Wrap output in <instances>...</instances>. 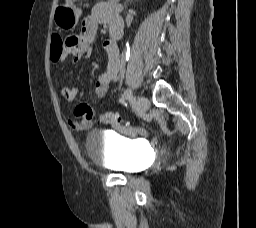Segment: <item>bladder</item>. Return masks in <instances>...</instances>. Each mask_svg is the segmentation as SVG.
<instances>
[{
	"mask_svg": "<svg viewBox=\"0 0 256 228\" xmlns=\"http://www.w3.org/2000/svg\"><path fill=\"white\" fill-rule=\"evenodd\" d=\"M85 147L94 162L119 173L136 174L144 170L149 161V151L144 145L107 137L98 129L88 132Z\"/></svg>",
	"mask_w": 256,
	"mask_h": 228,
	"instance_id": "31cf9c89",
	"label": "bladder"
}]
</instances>
